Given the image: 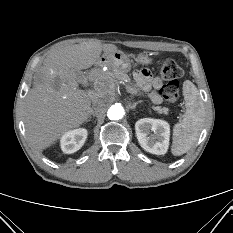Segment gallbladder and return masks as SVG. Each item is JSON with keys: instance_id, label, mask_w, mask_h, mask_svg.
<instances>
[{"instance_id": "obj_1", "label": "gallbladder", "mask_w": 233, "mask_h": 233, "mask_svg": "<svg viewBox=\"0 0 233 233\" xmlns=\"http://www.w3.org/2000/svg\"><path fill=\"white\" fill-rule=\"evenodd\" d=\"M76 76H77V78H79L80 77V73L76 72Z\"/></svg>"}]
</instances>
